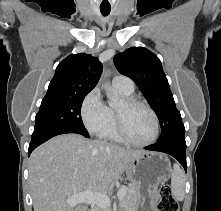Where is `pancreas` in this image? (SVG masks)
<instances>
[{
  "label": "pancreas",
  "mask_w": 221,
  "mask_h": 211,
  "mask_svg": "<svg viewBox=\"0 0 221 211\" xmlns=\"http://www.w3.org/2000/svg\"><path fill=\"white\" fill-rule=\"evenodd\" d=\"M120 204L124 211H137L138 190L135 185H129L126 188V194L121 199ZM95 211H110L107 208L96 207Z\"/></svg>",
  "instance_id": "cf45deb5"
}]
</instances>
